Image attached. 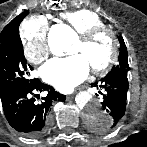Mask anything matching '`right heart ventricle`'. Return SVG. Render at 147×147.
<instances>
[{
    "mask_svg": "<svg viewBox=\"0 0 147 147\" xmlns=\"http://www.w3.org/2000/svg\"><path fill=\"white\" fill-rule=\"evenodd\" d=\"M62 19L79 35L85 34L95 28H102L105 26L101 17L90 10H78L65 13L62 15Z\"/></svg>",
    "mask_w": 147,
    "mask_h": 147,
    "instance_id": "right-heart-ventricle-1",
    "label": "right heart ventricle"
}]
</instances>
